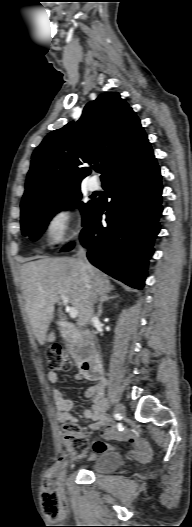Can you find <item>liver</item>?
Segmentation results:
<instances>
[{
  "instance_id": "6515ba94",
  "label": "liver",
  "mask_w": 192,
  "mask_h": 527,
  "mask_svg": "<svg viewBox=\"0 0 192 527\" xmlns=\"http://www.w3.org/2000/svg\"><path fill=\"white\" fill-rule=\"evenodd\" d=\"M91 280L86 288L78 260L71 257L42 258L27 262L20 269L25 309L33 333L40 345L47 340V332L54 315V305L62 295L78 311V327L91 319L93 302L109 293L113 286L107 276L90 265Z\"/></svg>"
}]
</instances>
